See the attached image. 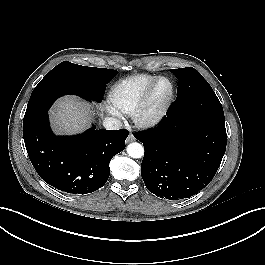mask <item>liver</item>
I'll return each mask as SVG.
<instances>
[{
	"mask_svg": "<svg viewBox=\"0 0 265 265\" xmlns=\"http://www.w3.org/2000/svg\"><path fill=\"white\" fill-rule=\"evenodd\" d=\"M89 107L91 105L76 97L59 100L51 112V121L57 134H75L88 127ZM102 111V107H97Z\"/></svg>",
	"mask_w": 265,
	"mask_h": 265,
	"instance_id": "liver-1",
	"label": "liver"
}]
</instances>
